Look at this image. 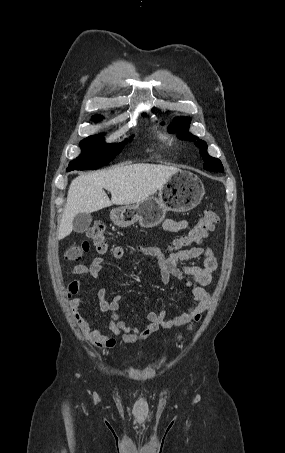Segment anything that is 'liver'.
Instances as JSON below:
<instances>
[{
  "instance_id": "1",
  "label": "liver",
  "mask_w": 285,
  "mask_h": 453,
  "mask_svg": "<svg viewBox=\"0 0 285 453\" xmlns=\"http://www.w3.org/2000/svg\"><path fill=\"white\" fill-rule=\"evenodd\" d=\"M178 171L173 166L139 163L76 177L68 190L58 239L70 235L77 214L95 212L113 204L138 203L154 194ZM104 189L111 193V200Z\"/></svg>"
}]
</instances>
